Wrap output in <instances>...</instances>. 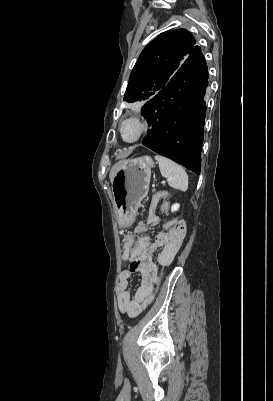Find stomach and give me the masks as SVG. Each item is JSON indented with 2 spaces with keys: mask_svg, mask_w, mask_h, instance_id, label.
Instances as JSON below:
<instances>
[{
  "mask_svg": "<svg viewBox=\"0 0 273 401\" xmlns=\"http://www.w3.org/2000/svg\"><path fill=\"white\" fill-rule=\"evenodd\" d=\"M152 166L154 162L151 156H139L134 160H126L117 170L112 182V194L120 229L135 223L141 201L149 192Z\"/></svg>",
  "mask_w": 273,
  "mask_h": 401,
  "instance_id": "obj_1",
  "label": "stomach"
}]
</instances>
